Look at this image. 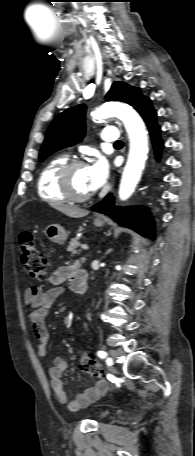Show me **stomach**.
Wrapping results in <instances>:
<instances>
[{"instance_id": "stomach-1", "label": "stomach", "mask_w": 195, "mask_h": 456, "mask_svg": "<svg viewBox=\"0 0 195 456\" xmlns=\"http://www.w3.org/2000/svg\"><path fill=\"white\" fill-rule=\"evenodd\" d=\"M94 225L96 227H103L105 225V221L103 219H95ZM46 236L52 242L63 244L67 239V232L65 229L58 225V224H51L45 230Z\"/></svg>"}]
</instances>
